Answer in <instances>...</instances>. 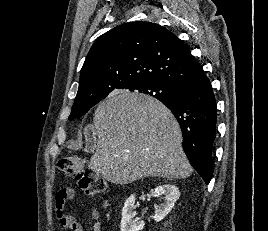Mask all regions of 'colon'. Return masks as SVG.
<instances>
[{
	"label": "colon",
	"mask_w": 268,
	"mask_h": 231,
	"mask_svg": "<svg viewBox=\"0 0 268 231\" xmlns=\"http://www.w3.org/2000/svg\"><path fill=\"white\" fill-rule=\"evenodd\" d=\"M57 167L60 172L74 177L87 195L96 196L106 190V183L84 158L74 155L65 156L58 161ZM61 194L65 197L69 192L63 191Z\"/></svg>",
	"instance_id": "colon-1"
}]
</instances>
